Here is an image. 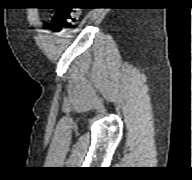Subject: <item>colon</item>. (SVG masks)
Segmentation results:
<instances>
[{
	"label": "colon",
	"mask_w": 192,
	"mask_h": 180,
	"mask_svg": "<svg viewBox=\"0 0 192 180\" xmlns=\"http://www.w3.org/2000/svg\"><path fill=\"white\" fill-rule=\"evenodd\" d=\"M79 17L78 8H61L56 11L52 18L53 29L60 32L73 25Z\"/></svg>",
	"instance_id": "obj_1"
}]
</instances>
